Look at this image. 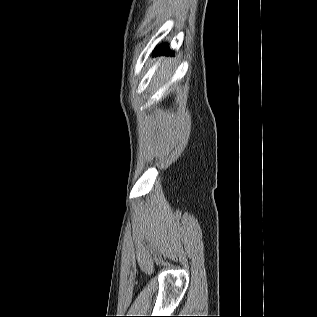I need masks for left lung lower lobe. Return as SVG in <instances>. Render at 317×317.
Listing matches in <instances>:
<instances>
[{"instance_id":"1","label":"left lung lower lobe","mask_w":317,"mask_h":317,"mask_svg":"<svg viewBox=\"0 0 317 317\" xmlns=\"http://www.w3.org/2000/svg\"><path fill=\"white\" fill-rule=\"evenodd\" d=\"M161 54H169L173 55V52H171L168 48V45L164 44L163 46H158L155 50V55H161Z\"/></svg>"}]
</instances>
